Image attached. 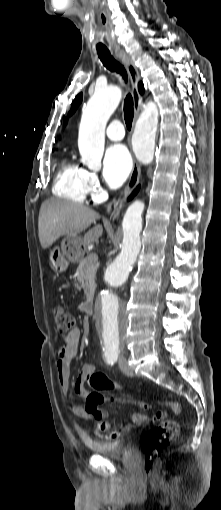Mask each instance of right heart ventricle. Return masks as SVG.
<instances>
[{"label":"right heart ventricle","mask_w":221,"mask_h":510,"mask_svg":"<svg viewBox=\"0 0 221 510\" xmlns=\"http://www.w3.org/2000/svg\"><path fill=\"white\" fill-rule=\"evenodd\" d=\"M85 170L65 157L57 170L53 193L63 199L83 203L86 199Z\"/></svg>","instance_id":"obj_1"}]
</instances>
